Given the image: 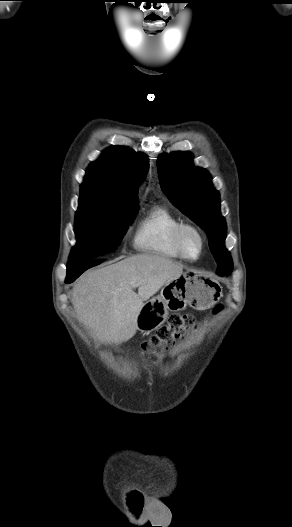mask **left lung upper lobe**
Listing matches in <instances>:
<instances>
[{
    "mask_svg": "<svg viewBox=\"0 0 292 527\" xmlns=\"http://www.w3.org/2000/svg\"><path fill=\"white\" fill-rule=\"evenodd\" d=\"M161 188L172 203L197 223L209 238V247L218 264L217 274L232 270V259L225 249V219L220 214L219 193L210 174L192 164L188 152L162 154L157 160Z\"/></svg>",
    "mask_w": 292,
    "mask_h": 527,
    "instance_id": "left-lung-upper-lobe-1",
    "label": "left lung upper lobe"
}]
</instances>
